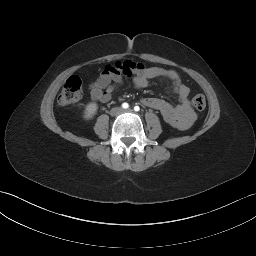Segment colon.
<instances>
[{
  "label": "colon",
  "mask_w": 256,
  "mask_h": 256,
  "mask_svg": "<svg viewBox=\"0 0 256 256\" xmlns=\"http://www.w3.org/2000/svg\"><path fill=\"white\" fill-rule=\"evenodd\" d=\"M106 71H111V67L107 68ZM82 95V81L77 75L70 76L59 95L58 102L61 105H68L77 102ZM192 104L195 109L202 111L205 109L207 101L203 94H196L192 98Z\"/></svg>",
  "instance_id": "obj_1"
}]
</instances>
